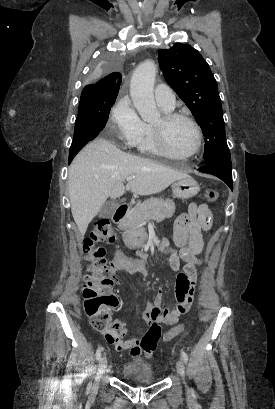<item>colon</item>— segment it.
<instances>
[{
	"label": "colon",
	"mask_w": 275,
	"mask_h": 409,
	"mask_svg": "<svg viewBox=\"0 0 275 409\" xmlns=\"http://www.w3.org/2000/svg\"><path fill=\"white\" fill-rule=\"evenodd\" d=\"M218 199L215 190H207L204 193L206 203H214ZM114 237L109 224L105 220H99L85 237L81 250L90 255V269L83 282V308L93 330H106L107 325H113L111 312L118 306L119 300L112 292L118 283L114 276L116 268L110 266L103 258L102 251L113 244ZM93 251H96L92 253ZM124 256H112L110 263L116 265L119 270L134 268V263ZM134 271V270H133ZM137 271V270H136ZM184 329L183 324L172 326L163 335L164 341H170L177 337Z\"/></svg>",
	"instance_id": "5ec220e1"
}]
</instances>
